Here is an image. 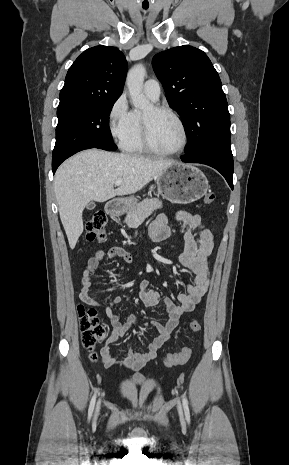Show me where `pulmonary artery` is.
I'll use <instances>...</instances> for the list:
<instances>
[{
    "mask_svg": "<svg viewBox=\"0 0 289 465\" xmlns=\"http://www.w3.org/2000/svg\"><path fill=\"white\" fill-rule=\"evenodd\" d=\"M144 92L150 99L157 100L161 92L159 82L155 79L147 80L144 83Z\"/></svg>",
    "mask_w": 289,
    "mask_h": 465,
    "instance_id": "obj_1",
    "label": "pulmonary artery"
}]
</instances>
